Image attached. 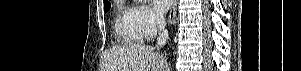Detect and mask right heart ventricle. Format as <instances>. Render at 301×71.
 <instances>
[{"label": "right heart ventricle", "mask_w": 301, "mask_h": 71, "mask_svg": "<svg viewBox=\"0 0 301 71\" xmlns=\"http://www.w3.org/2000/svg\"><path fill=\"white\" fill-rule=\"evenodd\" d=\"M114 33L116 38L123 43H140L143 41L144 37L135 21L133 8L124 4L118 6L114 20Z\"/></svg>", "instance_id": "1"}]
</instances>
